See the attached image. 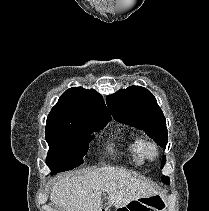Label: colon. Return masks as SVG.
Wrapping results in <instances>:
<instances>
[{
    "mask_svg": "<svg viewBox=\"0 0 209 211\" xmlns=\"http://www.w3.org/2000/svg\"><path fill=\"white\" fill-rule=\"evenodd\" d=\"M163 207V201L160 196H151L138 198L130 201L126 206L118 211H154Z\"/></svg>",
    "mask_w": 209,
    "mask_h": 211,
    "instance_id": "obj_1",
    "label": "colon"
}]
</instances>
